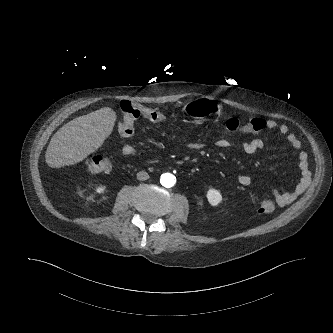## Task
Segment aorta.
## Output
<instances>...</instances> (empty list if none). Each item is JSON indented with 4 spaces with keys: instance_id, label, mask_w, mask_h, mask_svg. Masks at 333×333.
I'll return each mask as SVG.
<instances>
[{
    "instance_id": "aorta-1",
    "label": "aorta",
    "mask_w": 333,
    "mask_h": 333,
    "mask_svg": "<svg viewBox=\"0 0 333 333\" xmlns=\"http://www.w3.org/2000/svg\"><path fill=\"white\" fill-rule=\"evenodd\" d=\"M161 184L167 188H170L174 186L175 184V178L172 174L170 173H165L161 176Z\"/></svg>"
}]
</instances>
